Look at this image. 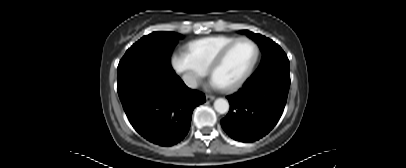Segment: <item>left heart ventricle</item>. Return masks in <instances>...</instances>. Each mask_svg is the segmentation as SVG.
Segmentation results:
<instances>
[{
  "instance_id": "left-heart-ventricle-1",
  "label": "left heart ventricle",
  "mask_w": 406,
  "mask_h": 168,
  "mask_svg": "<svg viewBox=\"0 0 406 168\" xmlns=\"http://www.w3.org/2000/svg\"><path fill=\"white\" fill-rule=\"evenodd\" d=\"M254 56V48L248 42L236 44L227 54L213 79L222 87L237 80L246 70Z\"/></svg>"
}]
</instances>
